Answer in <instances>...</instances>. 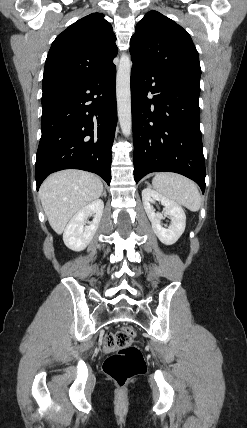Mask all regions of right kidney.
<instances>
[{
    "label": "right kidney",
    "instance_id": "1",
    "mask_svg": "<svg viewBox=\"0 0 247 428\" xmlns=\"http://www.w3.org/2000/svg\"><path fill=\"white\" fill-rule=\"evenodd\" d=\"M103 209V201L96 199L72 217L63 233V241L69 249L79 252L87 247L98 229ZM92 214L93 221L85 226L87 218Z\"/></svg>",
    "mask_w": 247,
    "mask_h": 428
}]
</instances>
